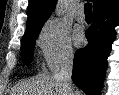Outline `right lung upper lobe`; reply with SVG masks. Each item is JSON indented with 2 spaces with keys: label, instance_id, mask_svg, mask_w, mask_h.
I'll return each instance as SVG.
<instances>
[{
  "label": "right lung upper lobe",
  "instance_id": "right-lung-upper-lobe-1",
  "mask_svg": "<svg viewBox=\"0 0 119 95\" xmlns=\"http://www.w3.org/2000/svg\"><path fill=\"white\" fill-rule=\"evenodd\" d=\"M56 1L57 0H30L27 8L28 20L26 32H29L33 29L43 26L44 22L47 21L51 12L54 10ZM91 1L94 4L93 6L94 14L106 8H109L110 6L119 2V0H91Z\"/></svg>",
  "mask_w": 119,
  "mask_h": 95
}]
</instances>
